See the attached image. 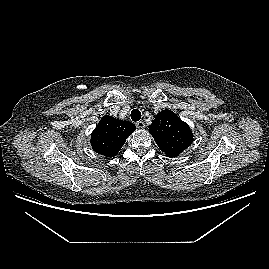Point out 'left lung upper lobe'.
Listing matches in <instances>:
<instances>
[{
  "label": "left lung upper lobe",
  "instance_id": "5c2ea615",
  "mask_svg": "<svg viewBox=\"0 0 269 269\" xmlns=\"http://www.w3.org/2000/svg\"><path fill=\"white\" fill-rule=\"evenodd\" d=\"M148 128L160 150L168 157H177L193 142L188 124L168 109L159 112Z\"/></svg>",
  "mask_w": 269,
  "mask_h": 269
}]
</instances>
